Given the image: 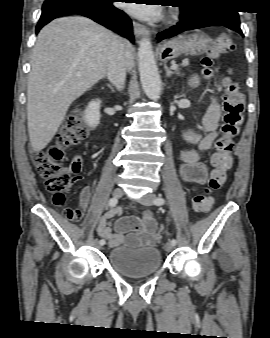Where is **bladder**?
Wrapping results in <instances>:
<instances>
[{"mask_svg":"<svg viewBox=\"0 0 270 338\" xmlns=\"http://www.w3.org/2000/svg\"><path fill=\"white\" fill-rule=\"evenodd\" d=\"M161 254L154 246L131 248L127 244L111 249L107 256L108 266L127 279L152 276L161 268Z\"/></svg>","mask_w":270,"mask_h":338,"instance_id":"1","label":"bladder"}]
</instances>
